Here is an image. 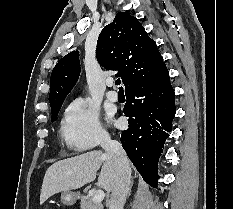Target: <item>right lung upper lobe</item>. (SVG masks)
I'll return each instance as SVG.
<instances>
[{
    "mask_svg": "<svg viewBox=\"0 0 233 209\" xmlns=\"http://www.w3.org/2000/svg\"><path fill=\"white\" fill-rule=\"evenodd\" d=\"M96 57L107 70H118L125 91L153 76L164 65L157 45L141 23L127 12H119L106 25L97 41ZM80 74L79 52L64 56L51 73L49 100L51 111L62 103Z\"/></svg>",
    "mask_w": 233,
    "mask_h": 209,
    "instance_id": "obj_1",
    "label": "right lung upper lobe"
}]
</instances>
